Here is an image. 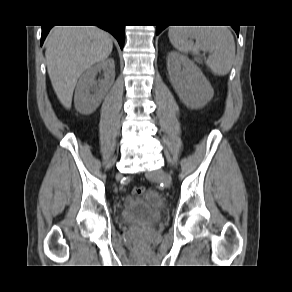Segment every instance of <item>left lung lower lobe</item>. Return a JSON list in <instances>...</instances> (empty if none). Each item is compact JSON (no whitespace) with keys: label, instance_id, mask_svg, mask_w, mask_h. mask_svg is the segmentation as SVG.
<instances>
[{"label":"left lung lower lobe","instance_id":"obj_1","mask_svg":"<svg viewBox=\"0 0 292 292\" xmlns=\"http://www.w3.org/2000/svg\"><path fill=\"white\" fill-rule=\"evenodd\" d=\"M166 26H157L156 34L158 35ZM237 35L239 34V26L233 27Z\"/></svg>","mask_w":292,"mask_h":292}]
</instances>
